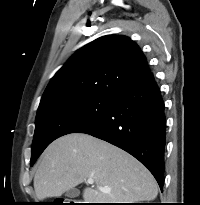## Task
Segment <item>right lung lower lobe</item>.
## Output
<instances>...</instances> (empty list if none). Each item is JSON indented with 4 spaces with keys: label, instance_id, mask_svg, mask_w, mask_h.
I'll return each mask as SVG.
<instances>
[{
    "label": "right lung lower lobe",
    "instance_id": "1",
    "mask_svg": "<svg viewBox=\"0 0 200 205\" xmlns=\"http://www.w3.org/2000/svg\"><path fill=\"white\" fill-rule=\"evenodd\" d=\"M166 119L164 102L152 73L115 98L108 110L76 133L107 141L133 155L164 185Z\"/></svg>",
    "mask_w": 200,
    "mask_h": 205
}]
</instances>
